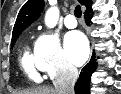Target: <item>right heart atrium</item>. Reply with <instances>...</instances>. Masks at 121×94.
<instances>
[{
	"instance_id": "right-heart-atrium-1",
	"label": "right heart atrium",
	"mask_w": 121,
	"mask_h": 94,
	"mask_svg": "<svg viewBox=\"0 0 121 94\" xmlns=\"http://www.w3.org/2000/svg\"><path fill=\"white\" fill-rule=\"evenodd\" d=\"M34 57L38 68L52 79L69 78L76 73L75 66L63 52L57 35L44 32L34 45Z\"/></svg>"
}]
</instances>
